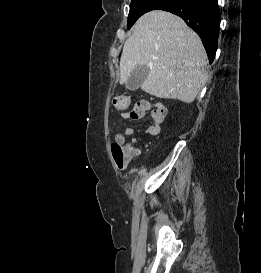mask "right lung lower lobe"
Wrapping results in <instances>:
<instances>
[{"label":"right lung lower lobe","instance_id":"right-lung-lower-lobe-1","mask_svg":"<svg viewBox=\"0 0 261 273\" xmlns=\"http://www.w3.org/2000/svg\"><path fill=\"white\" fill-rule=\"evenodd\" d=\"M163 8L180 16L201 38L210 63L217 50L221 14L218 0H164Z\"/></svg>","mask_w":261,"mask_h":273}]
</instances>
